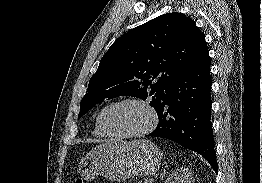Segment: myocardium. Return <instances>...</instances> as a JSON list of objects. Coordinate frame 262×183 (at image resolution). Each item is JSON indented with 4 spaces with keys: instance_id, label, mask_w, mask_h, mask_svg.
<instances>
[{
    "instance_id": "f54148a6",
    "label": "myocardium",
    "mask_w": 262,
    "mask_h": 183,
    "mask_svg": "<svg viewBox=\"0 0 262 183\" xmlns=\"http://www.w3.org/2000/svg\"><path fill=\"white\" fill-rule=\"evenodd\" d=\"M121 104H136V105H140L143 108H145L149 115H150V123L149 125L138 132H132V133H128V134H115L110 132L109 130H107V128L105 127L104 123H103V116L105 114V112L117 105H121ZM158 114L156 109L151 105L150 102L143 100V99H139V98H123L114 102L109 103L108 105H106L99 113L98 118H97V124L99 129L101 130V132L106 135L109 138H113V139H130V138H140V137H144L146 135H148L149 133H151L158 125Z\"/></svg>"
}]
</instances>
